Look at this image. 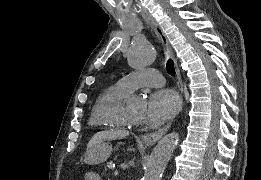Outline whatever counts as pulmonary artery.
Segmentation results:
<instances>
[{"label":"pulmonary artery","mask_w":261,"mask_h":180,"mask_svg":"<svg viewBox=\"0 0 261 180\" xmlns=\"http://www.w3.org/2000/svg\"><path fill=\"white\" fill-rule=\"evenodd\" d=\"M139 71L134 73L133 71L123 75L117 82V84L126 92L134 88L139 89H154L159 88V83L163 81V76L156 69H138Z\"/></svg>","instance_id":"pulmonary-artery-1"}]
</instances>
